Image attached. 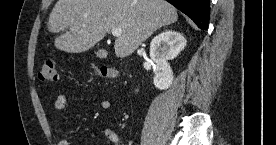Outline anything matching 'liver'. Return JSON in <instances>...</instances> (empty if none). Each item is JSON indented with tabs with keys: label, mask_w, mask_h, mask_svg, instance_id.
Instances as JSON below:
<instances>
[{
	"label": "liver",
	"mask_w": 276,
	"mask_h": 145,
	"mask_svg": "<svg viewBox=\"0 0 276 145\" xmlns=\"http://www.w3.org/2000/svg\"><path fill=\"white\" fill-rule=\"evenodd\" d=\"M177 19L176 8L165 0H58L49 15L48 30H66L55 39L57 49L82 53L113 28H121L114 49L123 58Z\"/></svg>",
	"instance_id": "6515ba94"
}]
</instances>
